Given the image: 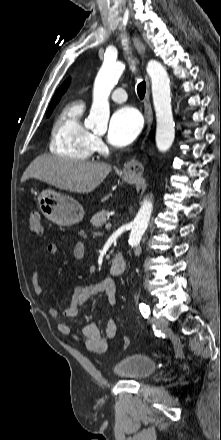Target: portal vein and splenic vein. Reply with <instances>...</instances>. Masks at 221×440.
Returning <instances> with one entry per match:
<instances>
[{"label":"portal vein and splenic vein","instance_id":"1","mask_svg":"<svg viewBox=\"0 0 221 440\" xmlns=\"http://www.w3.org/2000/svg\"><path fill=\"white\" fill-rule=\"evenodd\" d=\"M110 227H111V223H107L106 228H110Z\"/></svg>","mask_w":221,"mask_h":440}]
</instances>
